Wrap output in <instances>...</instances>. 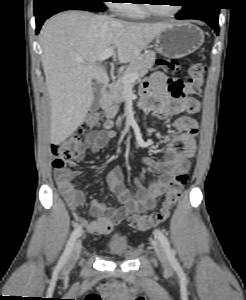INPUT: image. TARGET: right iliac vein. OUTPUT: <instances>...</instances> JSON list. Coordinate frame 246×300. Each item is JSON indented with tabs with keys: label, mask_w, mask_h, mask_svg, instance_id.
I'll return each instance as SVG.
<instances>
[{
	"label": "right iliac vein",
	"mask_w": 246,
	"mask_h": 300,
	"mask_svg": "<svg viewBox=\"0 0 246 300\" xmlns=\"http://www.w3.org/2000/svg\"><path fill=\"white\" fill-rule=\"evenodd\" d=\"M80 252H81V242L78 241L76 243V245L74 246V248L68 258V261L66 264L67 269H70L75 265L76 261L78 260V258L80 256Z\"/></svg>",
	"instance_id": "1"
}]
</instances>
